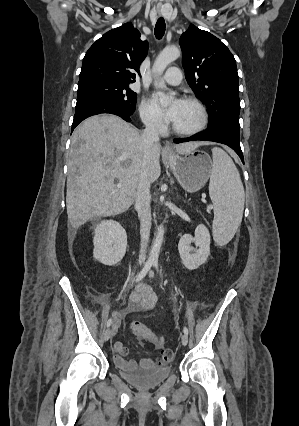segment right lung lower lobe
Masks as SVG:
<instances>
[{"label": "right lung lower lobe", "mask_w": 299, "mask_h": 426, "mask_svg": "<svg viewBox=\"0 0 299 426\" xmlns=\"http://www.w3.org/2000/svg\"><path fill=\"white\" fill-rule=\"evenodd\" d=\"M134 110L125 109L122 106L103 98L83 97L78 99L76 103V112L72 124V131L84 119L101 113L114 114L120 116L125 121L130 122V115L133 114Z\"/></svg>", "instance_id": "obj_1"}]
</instances>
